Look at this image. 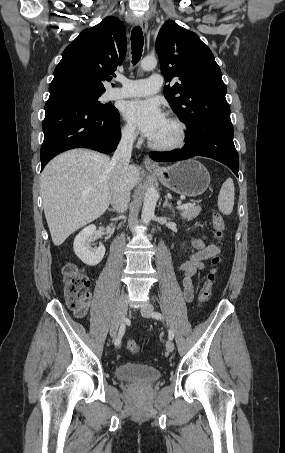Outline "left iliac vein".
Listing matches in <instances>:
<instances>
[{"label": "left iliac vein", "mask_w": 285, "mask_h": 453, "mask_svg": "<svg viewBox=\"0 0 285 453\" xmlns=\"http://www.w3.org/2000/svg\"><path fill=\"white\" fill-rule=\"evenodd\" d=\"M140 312H141L142 316H144L146 318H150L151 314L153 312V306L149 303H146L141 307ZM166 349L169 352H172L174 350V343L172 342V340H167Z\"/></svg>", "instance_id": "1"}]
</instances>
